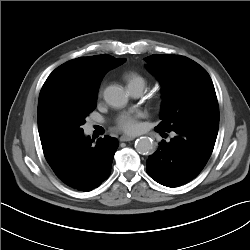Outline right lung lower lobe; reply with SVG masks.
Wrapping results in <instances>:
<instances>
[{
  "label": "right lung lower lobe",
  "mask_w": 250,
  "mask_h": 250,
  "mask_svg": "<svg viewBox=\"0 0 250 250\" xmlns=\"http://www.w3.org/2000/svg\"><path fill=\"white\" fill-rule=\"evenodd\" d=\"M94 139L83 132L42 143L44 156L56 176L69 187L80 191L97 188L111 172L116 138Z\"/></svg>",
  "instance_id": "right-lung-lower-lobe-1"
}]
</instances>
